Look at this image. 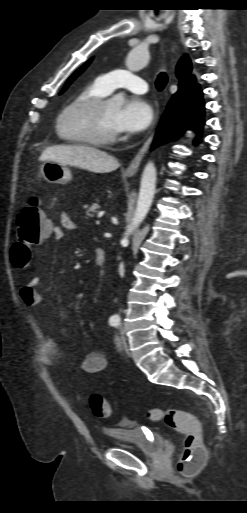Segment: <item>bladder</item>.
Listing matches in <instances>:
<instances>
[{
    "label": "bladder",
    "instance_id": "obj_1",
    "mask_svg": "<svg viewBox=\"0 0 247 513\" xmlns=\"http://www.w3.org/2000/svg\"><path fill=\"white\" fill-rule=\"evenodd\" d=\"M105 434L112 438L111 447L132 449L144 455H155L164 447V439L160 434L141 428L106 429Z\"/></svg>",
    "mask_w": 247,
    "mask_h": 513
}]
</instances>
